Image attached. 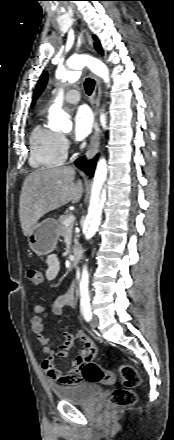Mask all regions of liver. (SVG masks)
Instances as JSON below:
<instances>
[{
	"mask_svg": "<svg viewBox=\"0 0 174 440\" xmlns=\"http://www.w3.org/2000/svg\"><path fill=\"white\" fill-rule=\"evenodd\" d=\"M72 167L39 168L24 180L19 219L23 234L28 236L38 220L68 202L77 203L83 195V184L76 182Z\"/></svg>",
	"mask_w": 174,
	"mask_h": 440,
	"instance_id": "liver-1",
	"label": "liver"
}]
</instances>
